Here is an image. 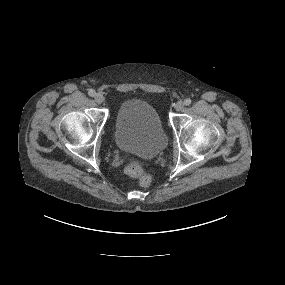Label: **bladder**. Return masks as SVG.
I'll list each match as a JSON object with an SVG mask.
<instances>
[{"label":"bladder","mask_w":285,"mask_h":285,"mask_svg":"<svg viewBox=\"0 0 285 285\" xmlns=\"http://www.w3.org/2000/svg\"><path fill=\"white\" fill-rule=\"evenodd\" d=\"M114 135L119 148L144 158L156 157L167 145L157 110L139 99L127 100L118 108Z\"/></svg>","instance_id":"31cf9c89"}]
</instances>
